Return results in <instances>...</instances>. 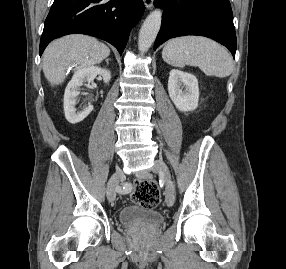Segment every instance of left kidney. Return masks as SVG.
Masks as SVG:
<instances>
[{
  "mask_svg": "<svg viewBox=\"0 0 286 269\" xmlns=\"http://www.w3.org/2000/svg\"><path fill=\"white\" fill-rule=\"evenodd\" d=\"M168 93L179 111L189 112L198 107V80L192 74L172 69L168 79Z\"/></svg>",
  "mask_w": 286,
  "mask_h": 269,
  "instance_id": "obj_1",
  "label": "left kidney"
}]
</instances>
